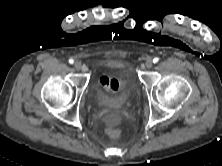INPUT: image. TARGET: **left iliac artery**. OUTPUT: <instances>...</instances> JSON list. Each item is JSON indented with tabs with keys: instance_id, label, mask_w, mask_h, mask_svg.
<instances>
[{
	"instance_id": "left-iliac-artery-1",
	"label": "left iliac artery",
	"mask_w": 222,
	"mask_h": 166,
	"mask_svg": "<svg viewBox=\"0 0 222 166\" xmlns=\"http://www.w3.org/2000/svg\"><path fill=\"white\" fill-rule=\"evenodd\" d=\"M159 61V58L158 57H155L154 59H153V62L154 63H157Z\"/></svg>"
}]
</instances>
